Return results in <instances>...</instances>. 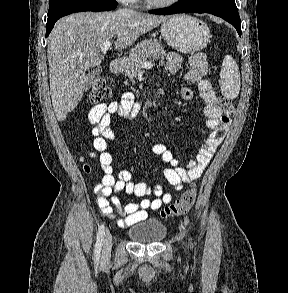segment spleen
<instances>
[{
  "mask_svg": "<svg viewBox=\"0 0 288 293\" xmlns=\"http://www.w3.org/2000/svg\"><path fill=\"white\" fill-rule=\"evenodd\" d=\"M221 93L227 99H234L240 91V73L232 56L224 57L220 72Z\"/></svg>",
  "mask_w": 288,
  "mask_h": 293,
  "instance_id": "3e777b00",
  "label": "spleen"
}]
</instances>
